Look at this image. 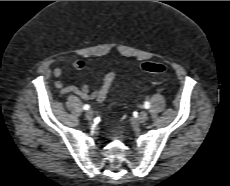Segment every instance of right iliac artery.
I'll return each instance as SVG.
<instances>
[{"label":"right iliac artery","instance_id":"82829eb1","mask_svg":"<svg viewBox=\"0 0 230 186\" xmlns=\"http://www.w3.org/2000/svg\"><path fill=\"white\" fill-rule=\"evenodd\" d=\"M83 109H84V110H89V109H90V106H89V105H84V106H83Z\"/></svg>","mask_w":230,"mask_h":186}]
</instances>
